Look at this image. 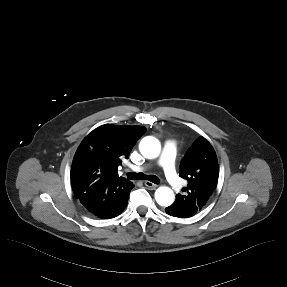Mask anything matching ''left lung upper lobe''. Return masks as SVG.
I'll list each match as a JSON object with an SVG mask.
<instances>
[{"instance_id": "obj_1", "label": "left lung upper lobe", "mask_w": 287, "mask_h": 287, "mask_svg": "<svg viewBox=\"0 0 287 287\" xmlns=\"http://www.w3.org/2000/svg\"><path fill=\"white\" fill-rule=\"evenodd\" d=\"M179 175L188 181L176 201L185 209L201 210L213 193L218 177V161L213 147L202 136L197 138L181 161Z\"/></svg>"}]
</instances>
